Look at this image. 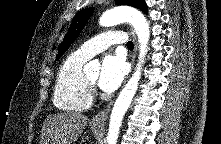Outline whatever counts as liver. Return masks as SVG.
I'll return each mask as SVG.
<instances>
[{
    "label": "liver",
    "instance_id": "obj_1",
    "mask_svg": "<svg viewBox=\"0 0 221 144\" xmlns=\"http://www.w3.org/2000/svg\"><path fill=\"white\" fill-rule=\"evenodd\" d=\"M88 117L75 112L47 116L43 123L40 144H71L82 134Z\"/></svg>",
    "mask_w": 221,
    "mask_h": 144
}]
</instances>
